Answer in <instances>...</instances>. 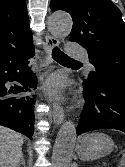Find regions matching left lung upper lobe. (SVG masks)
<instances>
[{"instance_id": "obj_1", "label": "left lung upper lobe", "mask_w": 125, "mask_h": 167, "mask_svg": "<svg viewBox=\"0 0 125 167\" xmlns=\"http://www.w3.org/2000/svg\"><path fill=\"white\" fill-rule=\"evenodd\" d=\"M50 8L72 16L70 40L87 49L95 67L83 87L92 88L102 77L125 78V23L111 0H51Z\"/></svg>"}]
</instances>
